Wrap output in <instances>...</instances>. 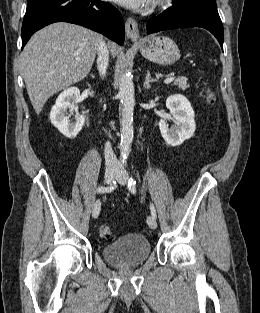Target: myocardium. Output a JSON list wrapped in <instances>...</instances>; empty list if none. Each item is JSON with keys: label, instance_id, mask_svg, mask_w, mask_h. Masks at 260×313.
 <instances>
[{"label": "myocardium", "instance_id": "obj_1", "mask_svg": "<svg viewBox=\"0 0 260 313\" xmlns=\"http://www.w3.org/2000/svg\"><path fill=\"white\" fill-rule=\"evenodd\" d=\"M170 0H156L155 5L157 7H165L169 3Z\"/></svg>", "mask_w": 260, "mask_h": 313}]
</instances>
